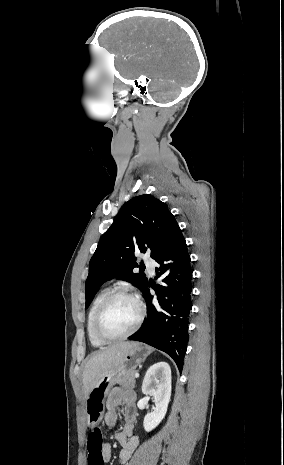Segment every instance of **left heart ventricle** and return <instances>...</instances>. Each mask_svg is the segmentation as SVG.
<instances>
[{
  "label": "left heart ventricle",
  "instance_id": "b2bd125f",
  "mask_svg": "<svg viewBox=\"0 0 284 465\" xmlns=\"http://www.w3.org/2000/svg\"><path fill=\"white\" fill-rule=\"evenodd\" d=\"M138 320V309L129 299H119L111 304L104 314L100 325V333L108 338L126 335Z\"/></svg>",
  "mask_w": 284,
  "mask_h": 465
}]
</instances>
